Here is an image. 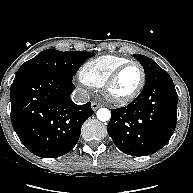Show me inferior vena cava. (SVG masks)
Masks as SVG:
<instances>
[{"label":"inferior vena cava","mask_w":193,"mask_h":193,"mask_svg":"<svg viewBox=\"0 0 193 193\" xmlns=\"http://www.w3.org/2000/svg\"><path fill=\"white\" fill-rule=\"evenodd\" d=\"M72 100L77 104H84L89 101V94L81 89L78 88L72 93Z\"/></svg>","instance_id":"1"}]
</instances>
